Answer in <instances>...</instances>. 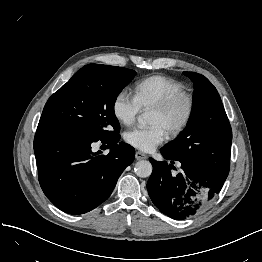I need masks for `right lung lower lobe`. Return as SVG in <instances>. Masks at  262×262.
Wrapping results in <instances>:
<instances>
[{
  "label": "right lung lower lobe",
  "instance_id": "right-lung-lower-lobe-1",
  "mask_svg": "<svg viewBox=\"0 0 262 262\" xmlns=\"http://www.w3.org/2000/svg\"><path fill=\"white\" fill-rule=\"evenodd\" d=\"M119 139V134L99 139L68 127L39 123L34 152L47 198L69 214L89 212L107 200L135 155L134 148L118 143ZM97 141L111 147L108 155L92 151Z\"/></svg>",
  "mask_w": 262,
  "mask_h": 262
}]
</instances>
